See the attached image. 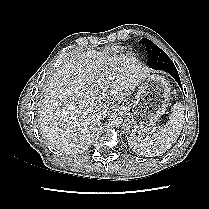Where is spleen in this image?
<instances>
[{
  "instance_id": "1",
  "label": "spleen",
  "mask_w": 209,
  "mask_h": 209,
  "mask_svg": "<svg viewBox=\"0 0 209 209\" xmlns=\"http://www.w3.org/2000/svg\"><path fill=\"white\" fill-rule=\"evenodd\" d=\"M184 124V107L176 103L171 109L168 122L151 138L130 134L128 144L130 148L141 156H155L166 152L178 139Z\"/></svg>"
}]
</instances>
